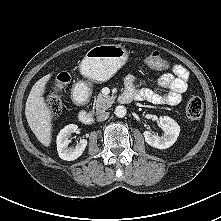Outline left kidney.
Segmentation results:
<instances>
[{
  "label": "left kidney",
  "mask_w": 221,
  "mask_h": 221,
  "mask_svg": "<svg viewBox=\"0 0 221 221\" xmlns=\"http://www.w3.org/2000/svg\"><path fill=\"white\" fill-rule=\"evenodd\" d=\"M160 127L163 129L164 134L159 137L152 134L150 131H144L143 135L145 141L152 147L158 149H166L172 146L180 133V126L170 117L164 116L159 118Z\"/></svg>",
  "instance_id": "5707ae66"
}]
</instances>
